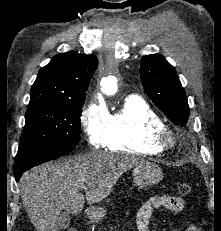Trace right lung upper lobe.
<instances>
[{
    "instance_id": "right-lung-upper-lobe-1",
    "label": "right lung upper lobe",
    "mask_w": 221,
    "mask_h": 231,
    "mask_svg": "<svg viewBox=\"0 0 221 231\" xmlns=\"http://www.w3.org/2000/svg\"><path fill=\"white\" fill-rule=\"evenodd\" d=\"M97 65L95 55L73 51L56 55L39 70L31 87L29 105L85 98Z\"/></svg>"
}]
</instances>
